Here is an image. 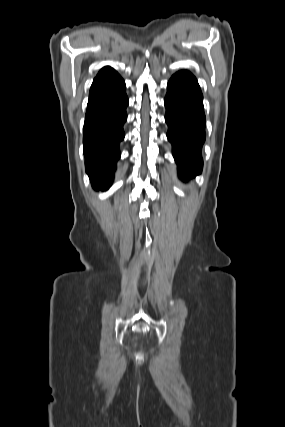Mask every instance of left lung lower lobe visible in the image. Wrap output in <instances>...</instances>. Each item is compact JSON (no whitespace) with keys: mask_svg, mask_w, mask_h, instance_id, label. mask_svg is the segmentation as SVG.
I'll return each mask as SVG.
<instances>
[{"mask_svg":"<svg viewBox=\"0 0 285 427\" xmlns=\"http://www.w3.org/2000/svg\"><path fill=\"white\" fill-rule=\"evenodd\" d=\"M167 137L181 178L201 173V148L205 141L203 96L196 78L188 71L174 74L165 97Z\"/></svg>","mask_w":285,"mask_h":427,"instance_id":"1","label":"left lung lower lobe"}]
</instances>
